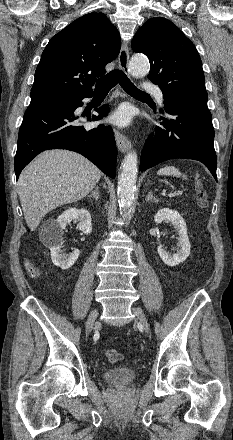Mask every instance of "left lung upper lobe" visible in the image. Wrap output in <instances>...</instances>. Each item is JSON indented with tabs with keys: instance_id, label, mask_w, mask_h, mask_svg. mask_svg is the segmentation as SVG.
Returning a JSON list of instances; mask_svg holds the SVG:
<instances>
[{
	"instance_id": "obj_1",
	"label": "left lung upper lobe",
	"mask_w": 233,
	"mask_h": 440,
	"mask_svg": "<svg viewBox=\"0 0 233 440\" xmlns=\"http://www.w3.org/2000/svg\"><path fill=\"white\" fill-rule=\"evenodd\" d=\"M132 49L149 58L148 79L159 85L165 100H208L200 56L171 21L161 17L149 19L134 36Z\"/></svg>"
}]
</instances>
